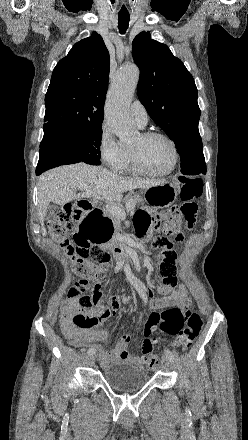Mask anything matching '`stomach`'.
Segmentation results:
<instances>
[{
	"mask_svg": "<svg viewBox=\"0 0 248 440\" xmlns=\"http://www.w3.org/2000/svg\"><path fill=\"white\" fill-rule=\"evenodd\" d=\"M178 196L176 187L162 182L145 189L144 200L154 208H166L172 205ZM88 218H76L74 241H91L98 246H115L116 219L110 218V209H88Z\"/></svg>",
	"mask_w": 248,
	"mask_h": 440,
	"instance_id": "stomach-1",
	"label": "stomach"
}]
</instances>
